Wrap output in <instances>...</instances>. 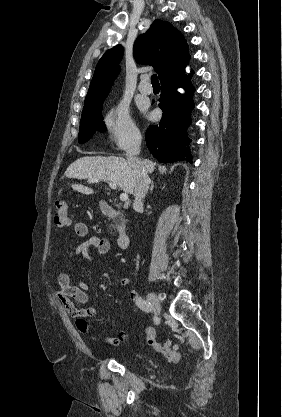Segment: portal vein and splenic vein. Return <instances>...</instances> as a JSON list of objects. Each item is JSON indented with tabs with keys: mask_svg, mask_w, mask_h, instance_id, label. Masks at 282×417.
<instances>
[{
	"mask_svg": "<svg viewBox=\"0 0 282 417\" xmlns=\"http://www.w3.org/2000/svg\"><path fill=\"white\" fill-rule=\"evenodd\" d=\"M89 182H100V180L99 178H89ZM108 184L111 188H117V184H114V182H108ZM128 198L127 192H122V194H120V200H128Z\"/></svg>",
	"mask_w": 282,
	"mask_h": 417,
	"instance_id": "1",
	"label": "portal vein and splenic vein"
}]
</instances>
